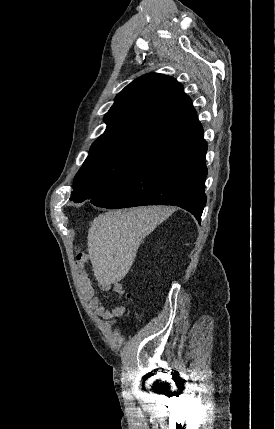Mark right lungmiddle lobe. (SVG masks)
Masks as SVG:
<instances>
[{
    "label": "right lung middle lobe",
    "instance_id": "right-lung-middle-lobe-1",
    "mask_svg": "<svg viewBox=\"0 0 275 429\" xmlns=\"http://www.w3.org/2000/svg\"><path fill=\"white\" fill-rule=\"evenodd\" d=\"M148 158L122 148L90 154L75 177L70 200L82 202L106 193L134 173Z\"/></svg>",
    "mask_w": 275,
    "mask_h": 429
}]
</instances>
